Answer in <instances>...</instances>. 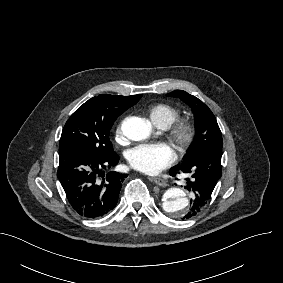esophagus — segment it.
Masks as SVG:
<instances>
[{"label":"esophagus","instance_id":"1","mask_svg":"<svg viewBox=\"0 0 283 283\" xmlns=\"http://www.w3.org/2000/svg\"><path fill=\"white\" fill-rule=\"evenodd\" d=\"M158 186L166 187L168 185L167 181L160 177H152L151 178Z\"/></svg>","mask_w":283,"mask_h":283}]
</instances>
